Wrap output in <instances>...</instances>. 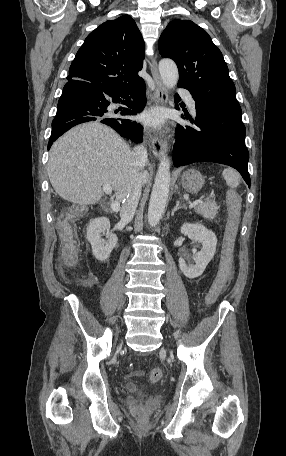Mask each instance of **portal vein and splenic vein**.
Wrapping results in <instances>:
<instances>
[{"instance_id":"1","label":"portal vein and splenic vein","mask_w":286,"mask_h":456,"mask_svg":"<svg viewBox=\"0 0 286 456\" xmlns=\"http://www.w3.org/2000/svg\"><path fill=\"white\" fill-rule=\"evenodd\" d=\"M103 191L107 194V195H111L112 193V187L110 184H104L103 185ZM202 200H196V201H193L189 204V207L190 208H193L195 206H197L199 203H201ZM111 208L113 211L117 212L119 209H120V205L117 201H112L111 203Z\"/></svg>"}]
</instances>
